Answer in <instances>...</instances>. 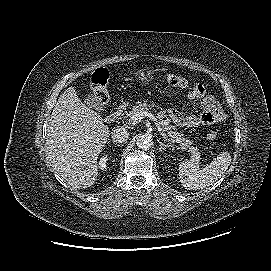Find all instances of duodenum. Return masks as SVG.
I'll list each match as a JSON object with an SVG mask.
<instances>
[{"mask_svg":"<svg viewBox=\"0 0 271 271\" xmlns=\"http://www.w3.org/2000/svg\"><path fill=\"white\" fill-rule=\"evenodd\" d=\"M125 110V105H119L117 108H115L106 118L107 123L114 122L116 119H118L123 111Z\"/></svg>","mask_w":271,"mask_h":271,"instance_id":"obj_1","label":"duodenum"}]
</instances>
